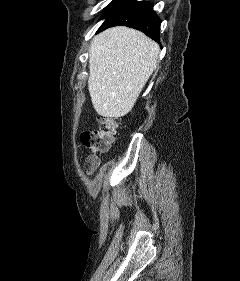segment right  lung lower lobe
I'll use <instances>...</instances> for the list:
<instances>
[{
	"label": "right lung lower lobe",
	"instance_id": "obj_1",
	"mask_svg": "<svg viewBox=\"0 0 240 281\" xmlns=\"http://www.w3.org/2000/svg\"><path fill=\"white\" fill-rule=\"evenodd\" d=\"M98 31L123 25L138 29L159 41L161 20L153 11V4L136 0H123L106 17Z\"/></svg>",
	"mask_w": 240,
	"mask_h": 281
}]
</instances>
